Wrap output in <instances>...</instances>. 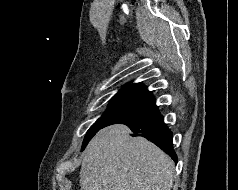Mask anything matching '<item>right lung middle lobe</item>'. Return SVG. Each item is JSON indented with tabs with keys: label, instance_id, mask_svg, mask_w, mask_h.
<instances>
[{
	"label": "right lung middle lobe",
	"instance_id": "obj_1",
	"mask_svg": "<svg viewBox=\"0 0 238 190\" xmlns=\"http://www.w3.org/2000/svg\"><path fill=\"white\" fill-rule=\"evenodd\" d=\"M154 106V103L145 102L134 98H112L106 112H104V114L88 130L83 141L82 150L100 129L112 124L123 123L134 119L146 113Z\"/></svg>",
	"mask_w": 238,
	"mask_h": 190
}]
</instances>
